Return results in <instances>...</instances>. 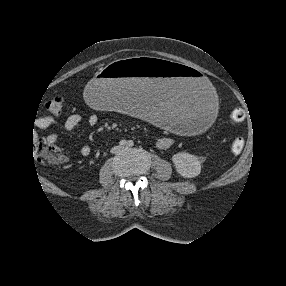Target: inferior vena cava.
I'll return each mask as SVG.
<instances>
[{"label":"inferior vena cava","mask_w":286,"mask_h":286,"mask_svg":"<svg viewBox=\"0 0 286 286\" xmlns=\"http://www.w3.org/2000/svg\"><path fill=\"white\" fill-rule=\"evenodd\" d=\"M117 150H118V147H114V148L111 149V152L115 153Z\"/></svg>","instance_id":"1"}]
</instances>
